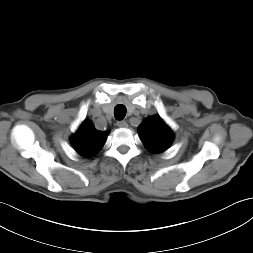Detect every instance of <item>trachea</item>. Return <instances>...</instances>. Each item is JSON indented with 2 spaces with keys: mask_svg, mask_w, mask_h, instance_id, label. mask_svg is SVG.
<instances>
[{
  "mask_svg": "<svg viewBox=\"0 0 253 253\" xmlns=\"http://www.w3.org/2000/svg\"><path fill=\"white\" fill-rule=\"evenodd\" d=\"M126 115V107L122 104L116 105L114 108V116L117 120H123Z\"/></svg>",
  "mask_w": 253,
  "mask_h": 253,
  "instance_id": "trachea-1",
  "label": "trachea"
}]
</instances>
